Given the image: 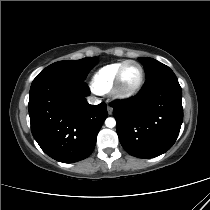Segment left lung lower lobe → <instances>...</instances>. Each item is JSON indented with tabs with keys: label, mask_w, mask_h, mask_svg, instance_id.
<instances>
[{
	"label": "left lung lower lobe",
	"mask_w": 210,
	"mask_h": 210,
	"mask_svg": "<svg viewBox=\"0 0 210 210\" xmlns=\"http://www.w3.org/2000/svg\"><path fill=\"white\" fill-rule=\"evenodd\" d=\"M111 106L120 143L130 155L153 158L175 143L183 108L182 90L171 69L147 79L135 97Z\"/></svg>",
	"instance_id": "obj_1"
}]
</instances>
